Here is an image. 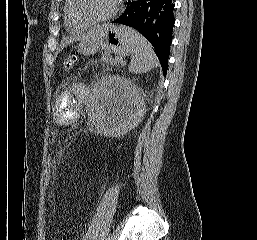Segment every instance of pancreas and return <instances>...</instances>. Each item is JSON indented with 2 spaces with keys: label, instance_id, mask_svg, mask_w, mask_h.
<instances>
[{
  "label": "pancreas",
  "instance_id": "pancreas-1",
  "mask_svg": "<svg viewBox=\"0 0 257 240\" xmlns=\"http://www.w3.org/2000/svg\"><path fill=\"white\" fill-rule=\"evenodd\" d=\"M117 58H118V57H117ZM117 58L114 59L108 52H104V53L102 54V56H101V60H102L104 63H106V64H108V65H111V66L118 64Z\"/></svg>",
  "mask_w": 257,
  "mask_h": 240
}]
</instances>
